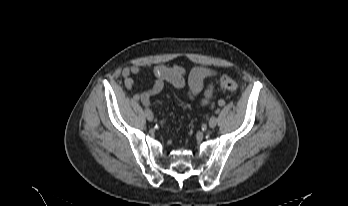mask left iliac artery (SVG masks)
Instances as JSON below:
<instances>
[{
  "instance_id": "obj_1",
  "label": "left iliac artery",
  "mask_w": 348,
  "mask_h": 206,
  "mask_svg": "<svg viewBox=\"0 0 348 206\" xmlns=\"http://www.w3.org/2000/svg\"><path fill=\"white\" fill-rule=\"evenodd\" d=\"M218 105L219 106H224V101L223 100H218Z\"/></svg>"
}]
</instances>
